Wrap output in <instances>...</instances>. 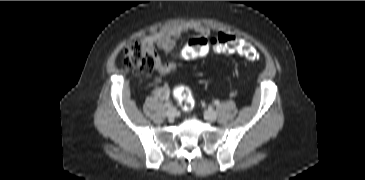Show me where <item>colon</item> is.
Masks as SVG:
<instances>
[{
  "label": "colon",
  "instance_id": "colon-1",
  "mask_svg": "<svg viewBox=\"0 0 365 180\" xmlns=\"http://www.w3.org/2000/svg\"><path fill=\"white\" fill-rule=\"evenodd\" d=\"M211 50L217 54H238L249 61H255L259 56L252 44L225 33L211 38H193L183 48L182 55L186 59H195L206 56ZM123 53L125 68L129 72L149 75L156 67L155 52L140 41L130 42ZM175 96L183 111L188 112L193 108L194 98L186 86L176 87Z\"/></svg>",
  "mask_w": 365,
  "mask_h": 180
}]
</instances>
